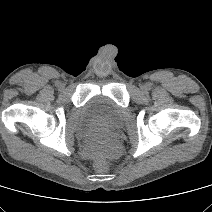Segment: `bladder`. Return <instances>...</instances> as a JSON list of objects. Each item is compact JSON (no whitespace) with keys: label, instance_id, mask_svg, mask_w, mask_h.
<instances>
[{"label":"bladder","instance_id":"31cf9c89","mask_svg":"<svg viewBox=\"0 0 212 212\" xmlns=\"http://www.w3.org/2000/svg\"><path fill=\"white\" fill-rule=\"evenodd\" d=\"M124 112L112 99L103 95L91 97L81 108L78 132L89 137L102 130H113L123 124Z\"/></svg>","mask_w":212,"mask_h":212}]
</instances>
